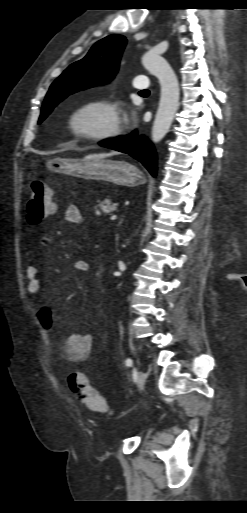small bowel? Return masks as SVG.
<instances>
[{
    "instance_id": "small-bowel-1",
    "label": "small bowel",
    "mask_w": 247,
    "mask_h": 513,
    "mask_svg": "<svg viewBox=\"0 0 247 513\" xmlns=\"http://www.w3.org/2000/svg\"><path fill=\"white\" fill-rule=\"evenodd\" d=\"M64 220L68 223L81 224L82 214L75 205H69L64 211ZM50 234H44L41 238L42 245L51 243ZM74 268L80 271H87L88 264L77 261ZM27 290L32 295H40L43 291L41 280V269L37 265H30L27 268ZM36 318L48 331L53 332L59 339L61 357L72 363L82 362L89 358L93 348V336L91 334H79L63 332L56 324L55 309L50 306H43L36 312Z\"/></svg>"
}]
</instances>
